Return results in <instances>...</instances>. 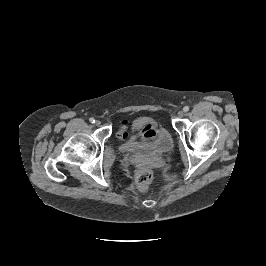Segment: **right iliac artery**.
<instances>
[{"instance_id":"right-iliac-artery-1","label":"right iliac artery","mask_w":266,"mask_h":266,"mask_svg":"<svg viewBox=\"0 0 266 266\" xmlns=\"http://www.w3.org/2000/svg\"><path fill=\"white\" fill-rule=\"evenodd\" d=\"M89 121H90L91 123H95L94 118H90Z\"/></svg>"}]
</instances>
